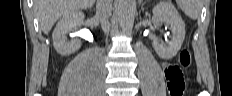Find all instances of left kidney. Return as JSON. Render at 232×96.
<instances>
[{"mask_svg":"<svg viewBox=\"0 0 232 96\" xmlns=\"http://www.w3.org/2000/svg\"><path fill=\"white\" fill-rule=\"evenodd\" d=\"M153 14L157 20V24L166 22L171 25L173 36L171 41L165 45L154 35L152 37V46L159 57L163 59H171L180 50L185 39V23L175 7L168 2H160L157 4L153 8Z\"/></svg>","mask_w":232,"mask_h":96,"instance_id":"1","label":"left kidney"}]
</instances>
